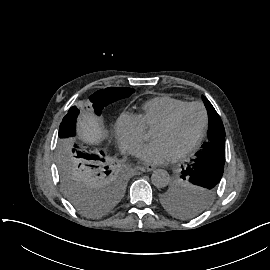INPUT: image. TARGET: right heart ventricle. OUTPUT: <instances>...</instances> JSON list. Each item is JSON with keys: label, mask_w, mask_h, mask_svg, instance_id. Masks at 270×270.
I'll list each match as a JSON object with an SVG mask.
<instances>
[{"label": "right heart ventricle", "mask_w": 270, "mask_h": 270, "mask_svg": "<svg viewBox=\"0 0 270 270\" xmlns=\"http://www.w3.org/2000/svg\"><path fill=\"white\" fill-rule=\"evenodd\" d=\"M187 104V101L176 99L167 95L155 97L141 106V112L134 116L142 128L150 129L158 123L168 119L175 111Z\"/></svg>", "instance_id": "e07e8e85"}]
</instances>
